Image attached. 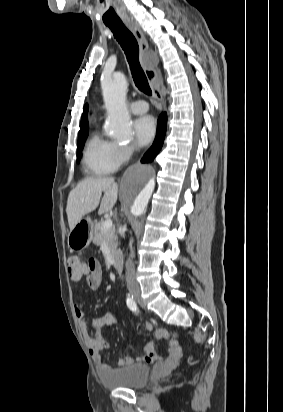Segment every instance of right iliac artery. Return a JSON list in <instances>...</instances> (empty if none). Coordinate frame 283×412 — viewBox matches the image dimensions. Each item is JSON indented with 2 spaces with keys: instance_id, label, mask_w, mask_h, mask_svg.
<instances>
[{
  "instance_id": "obj_1",
  "label": "right iliac artery",
  "mask_w": 283,
  "mask_h": 412,
  "mask_svg": "<svg viewBox=\"0 0 283 412\" xmlns=\"http://www.w3.org/2000/svg\"><path fill=\"white\" fill-rule=\"evenodd\" d=\"M126 303H127L128 308L132 312H134V313L139 312L138 307H137V303H136L135 299L133 298V296L132 297L128 296L127 299H126Z\"/></svg>"
}]
</instances>
